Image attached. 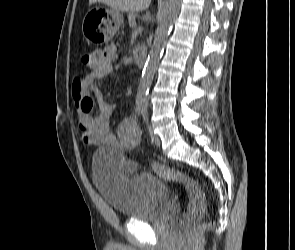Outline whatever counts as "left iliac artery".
<instances>
[{"label": "left iliac artery", "instance_id": "left-iliac-artery-1", "mask_svg": "<svg viewBox=\"0 0 295 250\" xmlns=\"http://www.w3.org/2000/svg\"><path fill=\"white\" fill-rule=\"evenodd\" d=\"M141 114L143 116L144 121L147 123L148 122V111H147V106H143L141 109Z\"/></svg>", "mask_w": 295, "mask_h": 250}]
</instances>
